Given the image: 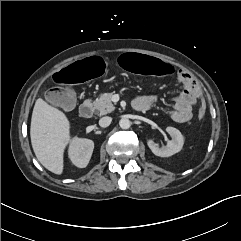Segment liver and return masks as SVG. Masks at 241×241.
Returning <instances> with one entry per match:
<instances>
[{
    "mask_svg": "<svg viewBox=\"0 0 241 241\" xmlns=\"http://www.w3.org/2000/svg\"><path fill=\"white\" fill-rule=\"evenodd\" d=\"M30 137L38 161L47 170L61 175L64 149L70 141V122L66 115L43 99H37L31 118Z\"/></svg>",
    "mask_w": 241,
    "mask_h": 241,
    "instance_id": "liver-1",
    "label": "liver"
}]
</instances>
